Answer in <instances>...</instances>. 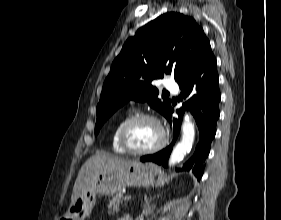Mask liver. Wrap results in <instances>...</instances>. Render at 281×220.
<instances>
[{
	"label": "liver",
	"mask_w": 281,
	"mask_h": 220,
	"mask_svg": "<svg viewBox=\"0 0 281 220\" xmlns=\"http://www.w3.org/2000/svg\"><path fill=\"white\" fill-rule=\"evenodd\" d=\"M137 163L136 161L124 160L104 152H97L90 157L81 167L76 178L71 196V205L86 189L89 182L100 172L112 171Z\"/></svg>",
	"instance_id": "6515ba94"
}]
</instances>
